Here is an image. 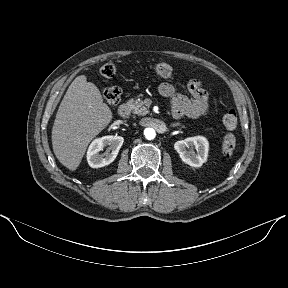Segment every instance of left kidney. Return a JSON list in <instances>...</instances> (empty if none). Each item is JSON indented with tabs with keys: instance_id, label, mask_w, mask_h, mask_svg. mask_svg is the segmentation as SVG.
<instances>
[{
	"instance_id": "obj_1",
	"label": "left kidney",
	"mask_w": 288,
	"mask_h": 288,
	"mask_svg": "<svg viewBox=\"0 0 288 288\" xmlns=\"http://www.w3.org/2000/svg\"><path fill=\"white\" fill-rule=\"evenodd\" d=\"M174 148L182 161L192 167H201L207 161L209 143L203 136H195L177 141L174 144Z\"/></svg>"
}]
</instances>
